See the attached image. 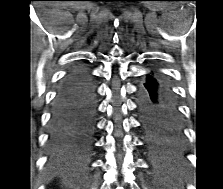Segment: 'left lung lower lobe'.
Masks as SVG:
<instances>
[{"label":"left lung lower lobe","instance_id":"1","mask_svg":"<svg viewBox=\"0 0 223 189\" xmlns=\"http://www.w3.org/2000/svg\"><path fill=\"white\" fill-rule=\"evenodd\" d=\"M137 99L143 125L161 127L180 137L181 119L177 101L164 77L147 74L138 87Z\"/></svg>","mask_w":223,"mask_h":189}]
</instances>
